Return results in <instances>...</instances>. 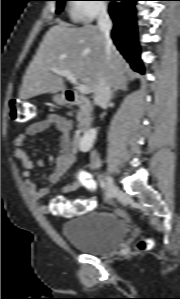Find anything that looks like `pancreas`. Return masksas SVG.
I'll return each instance as SVG.
<instances>
[{"label":"pancreas","mask_w":180,"mask_h":299,"mask_svg":"<svg viewBox=\"0 0 180 299\" xmlns=\"http://www.w3.org/2000/svg\"><path fill=\"white\" fill-rule=\"evenodd\" d=\"M82 117H83V110L81 109L79 112H78V115H77V121H81L82 120Z\"/></svg>","instance_id":"cf45deb5"}]
</instances>
